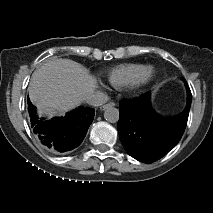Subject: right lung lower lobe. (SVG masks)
Returning <instances> with one entry per match:
<instances>
[{"label": "right lung lower lobe", "instance_id": "1", "mask_svg": "<svg viewBox=\"0 0 213 213\" xmlns=\"http://www.w3.org/2000/svg\"><path fill=\"white\" fill-rule=\"evenodd\" d=\"M31 127L41 142L52 150L65 152L72 150L83 141L94 118V109L79 107L64 117L49 121L39 118L35 107L28 99Z\"/></svg>", "mask_w": 213, "mask_h": 213}]
</instances>
